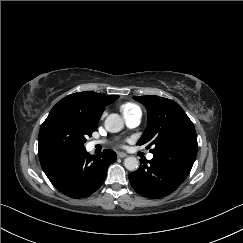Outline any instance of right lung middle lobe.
<instances>
[{"label": "right lung middle lobe", "instance_id": "1", "mask_svg": "<svg viewBox=\"0 0 243 243\" xmlns=\"http://www.w3.org/2000/svg\"><path fill=\"white\" fill-rule=\"evenodd\" d=\"M97 129V124L64 107L55 105L42 124L38 136V154L85 149L86 137Z\"/></svg>", "mask_w": 243, "mask_h": 243}]
</instances>
